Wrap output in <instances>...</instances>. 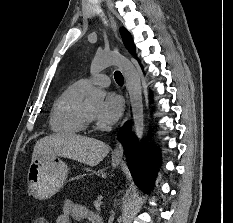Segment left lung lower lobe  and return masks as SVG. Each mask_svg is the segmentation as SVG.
Here are the masks:
<instances>
[{
    "label": "left lung lower lobe",
    "mask_w": 233,
    "mask_h": 223,
    "mask_svg": "<svg viewBox=\"0 0 233 223\" xmlns=\"http://www.w3.org/2000/svg\"><path fill=\"white\" fill-rule=\"evenodd\" d=\"M118 137L125 149L126 161L135 182L141 189L150 191L160 165L159 151L145 152L131 133L129 122L120 129Z\"/></svg>",
    "instance_id": "1"
}]
</instances>
